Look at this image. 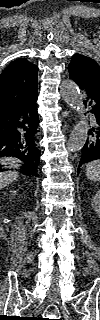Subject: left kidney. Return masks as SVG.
Here are the masks:
<instances>
[{"label": "left kidney", "mask_w": 100, "mask_h": 320, "mask_svg": "<svg viewBox=\"0 0 100 320\" xmlns=\"http://www.w3.org/2000/svg\"><path fill=\"white\" fill-rule=\"evenodd\" d=\"M93 209L98 214L100 212V193L97 192L96 195L92 199L91 203Z\"/></svg>", "instance_id": "1"}]
</instances>
